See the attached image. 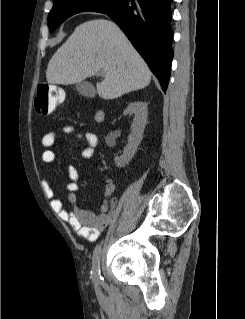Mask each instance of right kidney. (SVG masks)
<instances>
[{
	"instance_id": "ca27d5eb",
	"label": "right kidney",
	"mask_w": 245,
	"mask_h": 319,
	"mask_svg": "<svg viewBox=\"0 0 245 319\" xmlns=\"http://www.w3.org/2000/svg\"><path fill=\"white\" fill-rule=\"evenodd\" d=\"M134 120L131 126V134L128 137V144L123 151V155L115 158L117 167H124L134 157L139 144L143 138V132L147 124L148 105L142 101L131 103L123 112V115H133Z\"/></svg>"
}]
</instances>
